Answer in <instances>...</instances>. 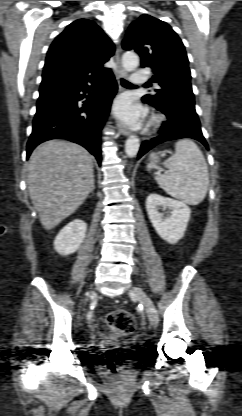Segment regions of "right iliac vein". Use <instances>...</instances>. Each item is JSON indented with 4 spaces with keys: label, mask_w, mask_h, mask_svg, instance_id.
<instances>
[{
    "label": "right iliac vein",
    "mask_w": 242,
    "mask_h": 416,
    "mask_svg": "<svg viewBox=\"0 0 242 416\" xmlns=\"http://www.w3.org/2000/svg\"><path fill=\"white\" fill-rule=\"evenodd\" d=\"M90 295H91V296H92V295H95V292H93V291H92V292L90 293Z\"/></svg>",
    "instance_id": "right-iliac-vein-1"
}]
</instances>
